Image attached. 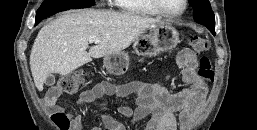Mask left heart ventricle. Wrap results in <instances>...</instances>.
Instances as JSON below:
<instances>
[{
    "mask_svg": "<svg viewBox=\"0 0 257 130\" xmlns=\"http://www.w3.org/2000/svg\"><path fill=\"white\" fill-rule=\"evenodd\" d=\"M161 6L171 13L179 12L183 8L184 0H159Z\"/></svg>",
    "mask_w": 257,
    "mask_h": 130,
    "instance_id": "obj_1",
    "label": "left heart ventricle"
}]
</instances>
